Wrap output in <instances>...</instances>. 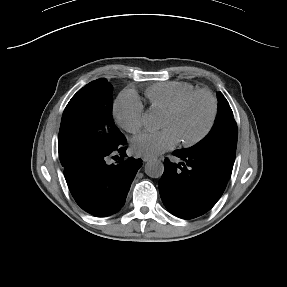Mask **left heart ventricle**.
I'll list each match as a JSON object with an SVG mask.
<instances>
[{
	"instance_id": "b2bd125f",
	"label": "left heart ventricle",
	"mask_w": 287,
	"mask_h": 287,
	"mask_svg": "<svg viewBox=\"0 0 287 287\" xmlns=\"http://www.w3.org/2000/svg\"><path fill=\"white\" fill-rule=\"evenodd\" d=\"M210 106L204 96H196L181 111L173 116L164 115L162 128H172L179 140L190 139L198 135L206 126Z\"/></svg>"
}]
</instances>
